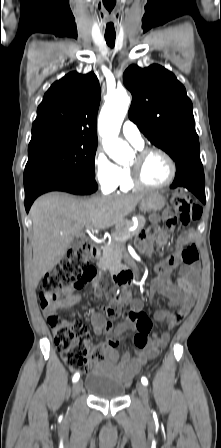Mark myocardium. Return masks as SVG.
Returning <instances> with one entry per match:
<instances>
[{
    "label": "myocardium",
    "mask_w": 221,
    "mask_h": 448,
    "mask_svg": "<svg viewBox=\"0 0 221 448\" xmlns=\"http://www.w3.org/2000/svg\"><path fill=\"white\" fill-rule=\"evenodd\" d=\"M154 153L160 154L165 158V160L169 164L170 171H171L170 177L168 178V180L159 185L147 183L142 175V166H143L144 161L146 160V158L149 155L154 154ZM128 169L130 172L131 182L136 187H141V188L162 189V188H165V187L171 185L177 176V165H176V162L174 161V159L172 158V156L165 150H163L161 148H157V147H149V148H144V149L140 150L136 155V162L134 164L130 165L128 167Z\"/></svg>",
    "instance_id": "obj_1"
}]
</instances>
